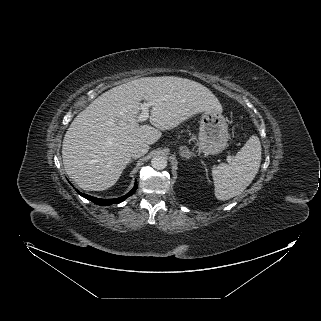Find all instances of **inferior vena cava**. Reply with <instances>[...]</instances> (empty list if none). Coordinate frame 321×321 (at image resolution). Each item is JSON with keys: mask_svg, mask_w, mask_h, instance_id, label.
Here are the masks:
<instances>
[{"mask_svg": "<svg viewBox=\"0 0 321 321\" xmlns=\"http://www.w3.org/2000/svg\"><path fill=\"white\" fill-rule=\"evenodd\" d=\"M149 150V145L143 142L135 143L130 147V153L133 158L144 156Z\"/></svg>", "mask_w": 321, "mask_h": 321, "instance_id": "602c4592", "label": "inferior vena cava"}]
</instances>
